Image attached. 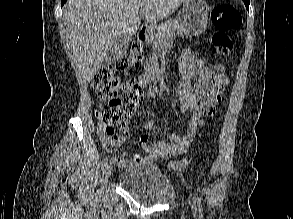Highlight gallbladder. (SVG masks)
<instances>
[{
  "label": "gallbladder",
  "mask_w": 293,
  "mask_h": 219,
  "mask_svg": "<svg viewBox=\"0 0 293 219\" xmlns=\"http://www.w3.org/2000/svg\"><path fill=\"white\" fill-rule=\"evenodd\" d=\"M131 40V37L124 35L117 36L109 48L107 57L105 59L106 62L113 64L121 60L126 54Z\"/></svg>",
  "instance_id": "obj_1"
}]
</instances>
